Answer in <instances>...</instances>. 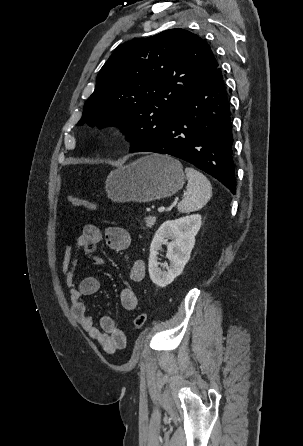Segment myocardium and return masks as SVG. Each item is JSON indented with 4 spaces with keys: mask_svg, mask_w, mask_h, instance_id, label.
Returning a JSON list of instances; mask_svg holds the SVG:
<instances>
[{
    "mask_svg": "<svg viewBox=\"0 0 303 446\" xmlns=\"http://www.w3.org/2000/svg\"><path fill=\"white\" fill-rule=\"evenodd\" d=\"M109 131H110L109 127L102 126V127L98 128L97 133H98L99 137H105L109 134Z\"/></svg>",
    "mask_w": 303,
    "mask_h": 446,
    "instance_id": "obj_1",
    "label": "myocardium"
}]
</instances>
